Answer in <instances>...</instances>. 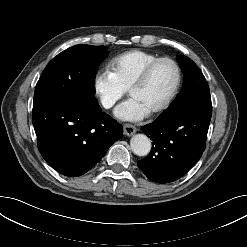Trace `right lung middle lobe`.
<instances>
[{
    "label": "right lung middle lobe",
    "instance_id": "1",
    "mask_svg": "<svg viewBox=\"0 0 247 247\" xmlns=\"http://www.w3.org/2000/svg\"><path fill=\"white\" fill-rule=\"evenodd\" d=\"M107 53L104 46L75 45L58 54L37 82L33 106L62 96L83 107H97L95 76Z\"/></svg>",
    "mask_w": 247,
    "mask_h": 247
}]
</instances>
